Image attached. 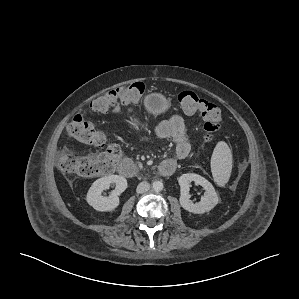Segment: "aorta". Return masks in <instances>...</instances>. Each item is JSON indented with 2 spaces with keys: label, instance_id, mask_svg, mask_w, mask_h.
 Masks as SVG:
<instances>
[{
  "label": "aorta",
  "instance_id": "aorta-1",
  "mask_svg": "<svg viewBox=\"0 0 299 299\" xmlns=\"http://www.w3.org/2000/svg\"><path fill=\"white\" fill-rule=\"evenodd\" d=\"M164 185L161 181H154L152 183V188L154 191L159 192L163 189Z\"/></svg>",
  "mask_w": 299,
  "mask_h": 299
}]
</instances>
